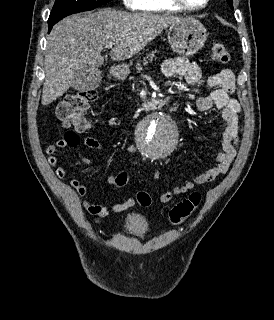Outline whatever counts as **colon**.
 <instances>
[{
    "label": "colon",
    "instance_id": "obj_1",
    "mask_svg": "<svg viewBox=\"0 0 274 320\" xmlns=\"http://www.w3.org/2000/svg\"><path fill=\"white\" fill-rule=\"evenodd\" d=\"M211 60L215 64H227L231 60L229 49L223 43H214L211 49ZM97 92L92 89H83L70 92L61 101L56 110L58 119L62 122L66 133L63 138H76L79 142V133L75 126H72V121L87 120L85 113L89 107L97 100ZM62 143V140H61ZM115 188L121 189L122 186L128 185L126 170L120 169L119 175H115ZM137 200L141 205H151V198L146 193H139ZM201 196L199 193H193L188 198L180 201L170 211L169 217L173 224H179L189 218L192 212L199 206Z\"/></svg>",
    "mask_w": 274,
    "mask_h": 320
}]
</instances>
